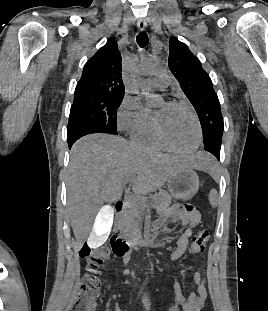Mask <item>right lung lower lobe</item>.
I'll return each mask as SVG.
<instances>
[{
	"label": "right lung lower lobe",
	"mask_w": 268,
	"mask_h": 311,
	"mask_svg": "<svg viewBox=\"0 0 268 311\" xmlns=\"http://www.w3.org/2000/svg\"><path fill=\"white\" fill-rule=\"evenodd\" d=\"M92 133H100V132H98L93 127L82 126V127H79L70 133H67V140H68L69 148H71L73 143L76 140H78L79 138H81L85 135H88V134H92Z\"/></svg>",
	"instance_id": "right-lung-lower-lobe-1"
}]
</instances>
